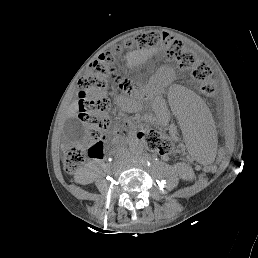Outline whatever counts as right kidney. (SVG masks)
<instances>
[{"mask_svg":"<svg viewBox=\"0 0 258 258\" xmlns=\"http://www.w3.org/2000/svg\"><path fill=\"white\" fill-rule=\"evenodd\" d=\"M95 179V174L89 171L88 167L82 168L76 175L75 181L80 184L92 183Z\"/></svg>","mask_w":258,"mask_h":258,"instance_id":"ca27d5eb","label":"right kidney"}]
</instances>
